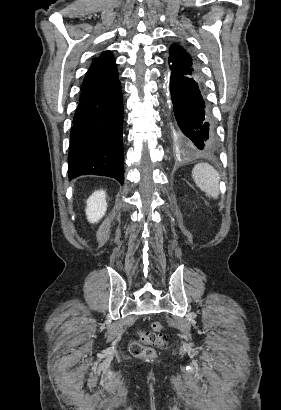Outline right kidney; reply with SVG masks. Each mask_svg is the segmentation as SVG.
I'll list each match as a JSON object with an SVG mask.
<instances>
[{
    "mask_svg": "<svg viewBox=\"0 0 281 410\" xmlns=\"http://www.w3.org/2000/svg\"><path fill=\"white\" fill-rule=\"evenodd\" d=\"M106 193L103 190L95 191L87 200L86 215L91 223H97L106 213Z\"/></svg>",
    "mask_w": 281,
    "mask_h": 410,
    "instance_id": "obj_1",
    "label": "right kidney"
}]
</instances>
